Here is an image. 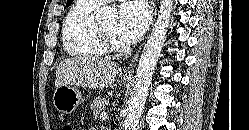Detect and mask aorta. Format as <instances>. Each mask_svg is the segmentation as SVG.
<instances>
[{"instance_id":"aorta-1","label":"aorta","mask_w":249,"mask_h":130,"mask_svg":"<svg viewBox=\"0 0 249 130\" xmlns=\"http://www.w3.org/2000/svg\"><path fill=\"white\" fill-rule=\"evenodd\" d=\"M173 3V0L160 1L157 21L143 48L136 69L133 93L127 108V116L123 123L124 130H137L141 114L145 107L152 75L161 54L170 25ZM114 14L115 12L113 9L104 7L100 10L99 17L101 19H106Z\"/></svg>"}]
</instances>
